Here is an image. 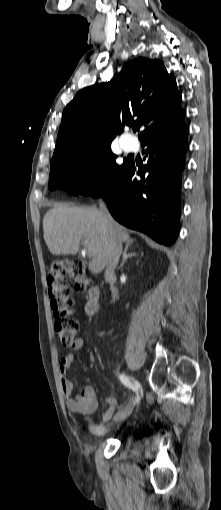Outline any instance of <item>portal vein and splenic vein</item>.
<instances>
[{"label": "portal vein and splenic vein", "instance_id": "1", "mask_svg": "<svg viewBox=\"0 0 221 510\" xmlns=\"http://www.w3.org/2000/svg\"><path fill=\"white\" fill-rule=\"evenodd\" d=\"M92 255H93L92 251H91V250H89V249H87V256H88L89 258H91V257H92Z\"/></svg>", "mask_w": 221, "mask_h": 510}]
</instances>
